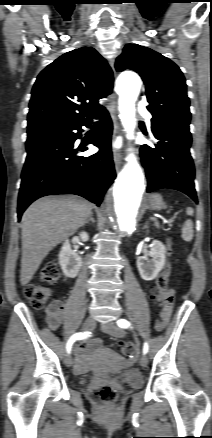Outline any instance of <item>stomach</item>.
I'll return each mask as SVG.
<instances>
[{
	"label": "stomach",
	"instance_id": "obj_1",
	"mask_svg": "<svg viewBox=\"0 0 212 438\" xmlns=\"http://www.w3.org/2000/svg\"><path fill=\"white\" fill-rule=\"evenodd\" d=\"M147 203L153 210H161L166 208V204L164 203L162 196L158 193L151 194L148 197Z\"/></svg>",
	"mask_w": 212,
	"mask_h": 438
}]
</instances>
